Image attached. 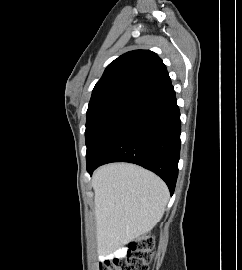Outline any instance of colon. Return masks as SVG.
Segmentation results:
<instances>
[{
  "label": "colon",
  "instance_id": "colon-1",
  "mask_svg": "<svg viewBox=\"0 0 242 270\" xmlns=\"http://www.w3.org/2000/svg\"><path fill=\"white\" fill-rule=\"evenodd\" d=\"M154 247V239L149 235H142L128 244L123 256H115L99 265V270H149Z\"/></svg>",
  "mask_w": 242,
  "mask_h": 270
}]
</instances>
